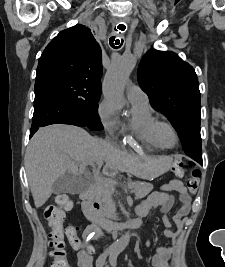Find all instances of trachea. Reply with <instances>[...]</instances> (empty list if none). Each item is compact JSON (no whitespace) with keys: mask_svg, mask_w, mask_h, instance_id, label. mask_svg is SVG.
Wrapping results in <instances>:
<instances>
[{"mask_svg":"<svg viewBox=\"0 0 225 267\" xmlns=\"http://www.w3.org/2000/svg\"><path fill=\"white\" fill-rule=\"evenodd\" d=\"M125 28H126V27H125L124 24H119V25L117 26V29H119V30H121V31H124ZM115 30H116V29H115ZM109 43H110L111 47L117 49V48H120V47L122 46V44H123V40L120 41L119 39H115V36H113V37H111V38L109 39Z\"/></svg>","mask_w":225,"mask_h":267,"instance_id":"trachea-1","label":"trachea"}]
</instances>
